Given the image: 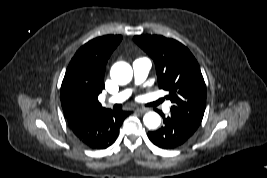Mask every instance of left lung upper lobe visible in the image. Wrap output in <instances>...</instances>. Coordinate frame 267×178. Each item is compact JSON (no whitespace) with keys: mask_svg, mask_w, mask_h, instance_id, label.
I'll list each match as a JSON object with an SVG mask.
<instances>
[{"mask_svg":"<svg viewBox=\"0 0 267 178\" xmlns=\"http://www.w3.org/2000/svg\"><path fill=\"white\" fill-rule=\"evenodd\" d=\"M134 41L152 57L159 88L169 92L171 114L180 117L193 129L203 119L206 86L198 62L180 42L159 35H139Z\"/></svg>","mask_w":267,"mask_h":178,"instance_id":"1","label":"left lung upper lobe"}]
</instances>
